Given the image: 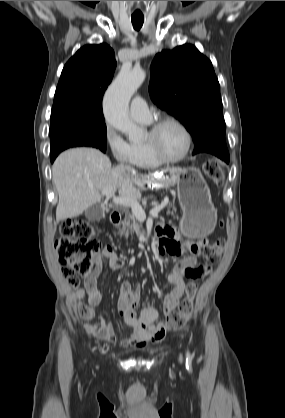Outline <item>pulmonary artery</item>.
<instances>
[{"label":"pulmonary artery","instance_id":"e3ab8cb5","mask_svg":"<svg viewBox=\"0 0 285 418\" xmlns=\"http://www.w3.org/2000/svg\"><path fill=\"white\" fill-rule=\"evenodd\" d=\"M130 115L133 119L139 122H149L151 119L150 110L146 102L140 97H135L131 101Z\"/></svg>","mask_w":285,"mask_h":418}]
</instances>
